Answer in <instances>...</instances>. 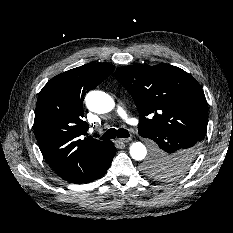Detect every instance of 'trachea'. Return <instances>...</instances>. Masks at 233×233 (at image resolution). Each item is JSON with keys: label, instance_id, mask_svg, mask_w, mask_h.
<instances>
[{"label": "trachea", "instance_id": "obj_1", "mask_svg": "<svg viewBox=\"0 0 233 233\" xmlns=\"http://www.w3.org/2000/svg\"><path fill=\"white\" fill-rule=\"evenodd\" d=\"M129 132L126 129L120 128L116 130L115 128L108 129L101 137V140H109L114 139L116 137L118 138H128Z\"/></svg>", "mask_w": 233, "mask_h": 233}]
</instances>
